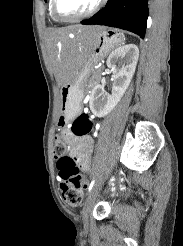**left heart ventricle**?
I'll return each mask as SVG.
<instances>
[{
  "mask_svg": "<svg viewBox=\"0 0 183 246\" xmlns=\"http://www.w3.org/2000/svg\"><path fill=\"white\" fill-rule=\"evenodd\" d=\"M97 0H59L58 9L64 16H77L90 10Z\"/></svg>",
  "mask_w": 183,
  "mask_h": 246,
  "instance_id": "1",
  "label": "left heart ventricle"
}]
</instances>
